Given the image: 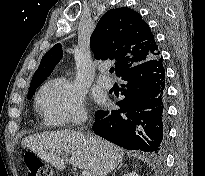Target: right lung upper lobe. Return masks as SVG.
<instances>
[{"label": "right lung upper lobe", "mask_w": 205, "mask_h": 176, "mask_svg": "<svg viewBox=\"0 0 205 176\" xmlns=\"http://www.w3.org/2000/svg\"><path fill=\"white\" fill-rule=\"evenodd\" d=\"M91 47L97 59L115 61L118 77L139 63L160 57L149 25L139 13L129 8L113 9L102 16L92 33ZM61 57V45L56 44L42 57L29 91L36 89L51 74Z\"/></svg>", "instance_id": "obj_1"}]
</instances>
